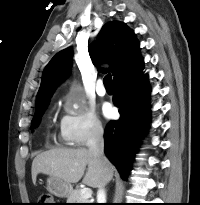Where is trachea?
<instances>
[{
    "label": "trachea",
    "instance_id": "obj_1",
    "mask_svg": "<svg viewBox=\"0 0 200 205\" xmlns=\"http://www.w3.org/2000/svg\"><path fill=\"white\" fill-rule=\"evenodd\" d=\"M103 83H104V85H105L106 88H113L112 76H111V74H107V75L104 77Z\"/></svg>",
    "mask_w": 200,
    "mask_h": 205
}]
</instances>
